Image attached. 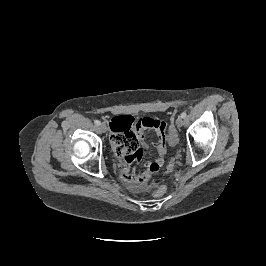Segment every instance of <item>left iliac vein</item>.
<instances>
[{"label": "left iliac vein", "mask_w": 266, "mask_h": 266, "mask_svg": "<svg viewBox=\"0 0 266 266\" xmlns=\"http://www.w3.org/2000/svg\"><path fill=\"white\" fill-rule=\"evenodd\" d=\"M183 124H184V119H183L181 116H179V117L177 118V120H176V126H177V127H182Z\"/></svg>", "instance_id": "obj_1"}]
</instances>
